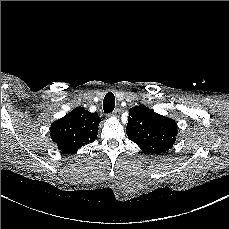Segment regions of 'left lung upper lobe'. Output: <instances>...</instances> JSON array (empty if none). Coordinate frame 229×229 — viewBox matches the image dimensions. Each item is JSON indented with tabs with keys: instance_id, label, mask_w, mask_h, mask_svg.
<instances>
[{
	"instance_id": "left-lung-upper-lobe-1",
	"label": "left lung upper lobe",
	"mask_w": 229,
	"mask_h": 229,
	"mask_svg": "<svg viewBox=\"0 0 229 229\" xmlns=\"http://www.w3.org/2000/svg\"><path fill=\"white\" fill-rule=\"evenodd\" d=\"M178 133L176 122L144 105L129 110L126 134L144 153L160 154L169 151Z\"/></svg>"
}]
</instances>
